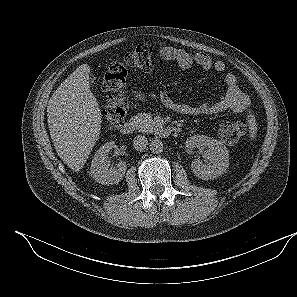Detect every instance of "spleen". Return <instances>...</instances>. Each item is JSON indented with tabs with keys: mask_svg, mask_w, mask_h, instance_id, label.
Wrapping results in <instances>:
<instances>
[{
	"mask_svg": "<svg viewBox=\"0 0 297 297\" xmlns=\"http://www.w3.org/2000/svg\"><path fill=\"white\" fill-rule=\"evenodd\" d=\"M252 121H253V120H252ZM252 127H253V128H252V129H253V130H252V135H253V134H254V128H255V123H254V122H252Z\"/></svg>",
	"mask_w": 297,
	"mask_h": 297,
	"instance_id": "obj_1",
	"label": "spleen"
}]
</instances>
